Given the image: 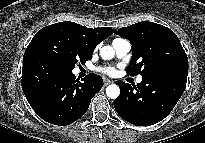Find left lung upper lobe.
<instances>
[{
  "label": "left lung upper lobe",
  "mask_w": 205,
  "mask_h": 143,
  "mask_svg": "<svg viewBox=\"0 0 205 143\" xmlns=\"http://www.w3.org/2000/svg\"><path fill=\"white\" fill-rule=\"evenodd\" d=\"M116 34L132 44V59L126 68L128 75L145 76L175 65L188 67V58L178 37L163 25L142 21L120 28Z\"/></svg>",
  "instance_id": "left-lung-upper-lobe-1"
}]
</instances>
